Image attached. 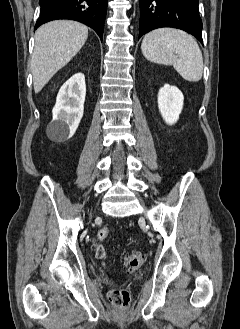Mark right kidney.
Here are the masks:
<instances>
[{
	"label": "right kidney",
	"instance_id": "obj_1",
	"mask_svg": "<svg viewBox=\"0 0 240 329\" xmlns=\"http://www.w3.org/2000/svg\"><path fill=\"white\" fill-rule=\"evenodd\" d=\"M86 96L85 76L76 73L60 88L52 110L48 132L56 139L71 138L83 117Z\"/></svg>",
	"mask_w": 240,
	"mask_h": 329
}]
</instances>
